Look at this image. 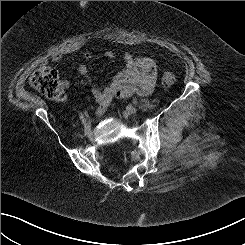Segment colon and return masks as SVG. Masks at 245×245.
Instances as JSON below:
<instances>
[{
  "label": "colon",
  "mask_w": 245,
  "mask_h": 245,
  "mask_svg": "<svg viewBox=\"0 0 245 245\" xmlns=\"http://www.w3.org/2000/svg\"><path fill=\"white\" fill-rule=\"evenodd\" d=\"M176 74L171 70H166L161 75V83L164 87H170L176 82ZM29 84L32 88L51 99H59L63 92L59 86L58 74L50 66H41L35 70L30 78Z\"/></svg>",
  "instance_id": "colon-1"
}]
</instances>
